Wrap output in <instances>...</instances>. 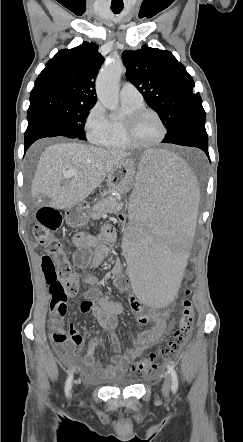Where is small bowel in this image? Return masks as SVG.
I'll list each match as a JSON object with an SVG mask.
<instances>
[{
  "mask_svg": "<svg viewBox=\"0 0 243 442\" xmlns=\"http://www.w3.org/2000/svg\"><path fill=\"white\" fill-rule=\"evenodd\" d=\"M116 239L115 228L107 224L102 227L99 234H90L86 231H80L73 235L72 243L75 247L73 260L78 268L91 266L98 268L104 260L112 255L110 244ZM115 279V286L121 292L129 291L130 282L122 273V267L119 261L115 260L112 268ZM92 286L84 292V300L80 304L82 314L90 313L109 334L115 355L108 357L107 364L101 366L96 364L93 351L102 340L101 333H95L90 339L87 351L84 355L76 351L82 348L84 338L74 323L69 324L68 331L63 327V318L67 306L51 308V319L49 327L52 330V336L55 333H62L65 336L63 341H54L60 349L61 355L66 359L71 367L81 370L83 375L91 381H104L125 373L131 363L137 359L144 350L156 345L165 335L168 325V311H154L151 316L139 314L137 321L140 324H146L150 320L152 326L141 332L133 339V346L122 352L120 344L114 335V330L118 326L117 317L124 311L122 303L110 300L101 294V291L95 287L96 279H86ZM131 307L135 312L142 311V304L138 299L131 296Z\"/></svg>",
  "mask_w": 243,
  "mask_h": 442,
  "instance_id": "obj_1",
  "label": "small bowel"
}]
</instances>
